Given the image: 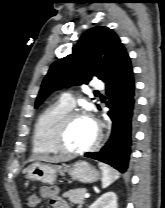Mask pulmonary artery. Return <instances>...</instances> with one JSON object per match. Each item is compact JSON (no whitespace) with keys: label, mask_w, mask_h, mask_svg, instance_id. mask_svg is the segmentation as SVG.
Listing matches in <instances>:
<instances>
[{"label":"pulmonary artery","mask_w":165,"mask_h":208,"mask_svg":"<svg viewBox=\"0 0 165 208\" xmlns=\"http://www.w3.org/2000/svg\"><path fill=\"white\" fill-rule=\"evenodd\" d=\"M93 89L95 90H103L104 89V84L97 80V81H94L93 83ZM62 103L70 108L74 107L75 106V99L73 98V96L71 94H65L63 97H62Z\"/></svg>","instance_id":"obj_1"}]
</instances>
